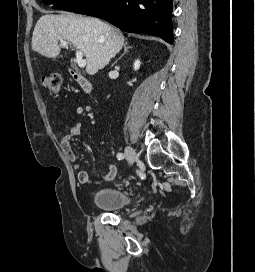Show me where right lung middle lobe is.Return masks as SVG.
Returning a JSON list of instances; mask_svg holds the SVG:
<instances>
[{
  "instance_id": "obj_1",
  "label": "right lung middle lobe",
  "mask_w": 255,
  "mask_h": 272,
  "mask_svg": "<svg viewBox=\"0 0 255 272\" xmlns=\"http://www.w3.org/2000/svg\"><path fill=\"white\" fill-rule=\"evenodd\" d=\"M45 4H54L53 8L85 14L98 0H42Z\"/></svg>"
}]
</instances>
